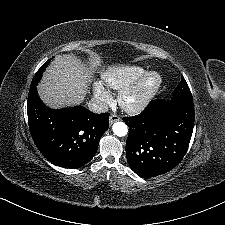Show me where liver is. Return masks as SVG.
<instances>
[{
    "label": "liver",
    "instance_id": "obj_1",
    "mask_svg": "<svg viewBox=\"0 0 225 225\" xmlns=\"http://www.w3.org/2000/svg\"><path fill=\"white\" fill-rule=\"evenodd\" d=\"M90 72L76 57H56L38 86L41 99L52 108L75 106L88 93Z\"/></svg>",
    "mask_w": 225,
    "mask_h": 225
}]
</instances>
